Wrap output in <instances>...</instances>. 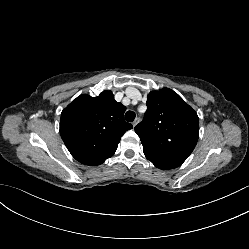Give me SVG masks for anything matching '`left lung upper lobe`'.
I'll list each match as a JSON object with an SVG mask.
<instances>
[{"instance_id": "1", "label": "left lung upper lobe", "mask_w": 249, "mask_h": 249, "mask_svg": "<svg viewBox=\"0 0 249 249\" xmlns=\"http://www.w3.org/2000/svg\"><path fill=\"white\" fill-rule=\"evenodd\" d=\"M146 104L144 119L135 127L144 154L159 169L177 168L197 144V113L168 88L150 92Z\"/></svg>"}]
</instances>
